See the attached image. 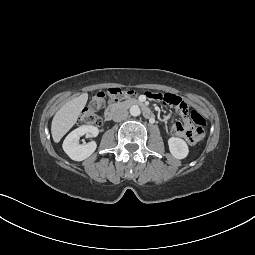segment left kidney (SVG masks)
Instances as JSON below:
<instances>
[{"label": "left kidney", "instance_id": "1", "mask_svg": "<svg viewBox=\"0 0 255 255\" xmlns=\"http://www.w3.org/2000/svg\"><path fill=\"white\" fill-rule=\"evenodd\" d=\"M168 145L170 153L174 158L180 160L187 157L189 149L187 143L183 139L171 137L168 140Z\"/></svg>", "mask_w": 255, "mask_h": 255}]
</instances>
